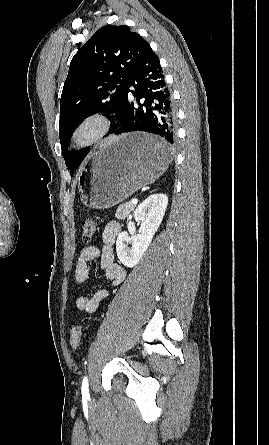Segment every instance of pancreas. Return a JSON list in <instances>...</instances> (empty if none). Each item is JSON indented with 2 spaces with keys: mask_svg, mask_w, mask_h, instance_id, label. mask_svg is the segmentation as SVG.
Segmentation results:
<instances>
[{
  "mask_svg": "<svg viewBox=\"0 0 269 445\" xmlns=\"http://www.w3.org/2000/svg\"><path fill=\"white\" fill-rule=\"evenodd\" d=\"M135 208V205L131 202H126L124 204H121L118 209L116 210L115 217L117 219H125L128 217L131 211H133Z\"/></svg>",
  "mask_w": 269,
  "mask_h": 445,
  "instance_id": "1",
  "label": "pancreas"
}]
</instances>
